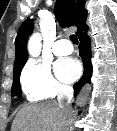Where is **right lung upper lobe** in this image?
I'll return each mask as SVG.
<instances>
[{
  "label": "right lung upper lobe",
  "mask_w": 117,
  "mask_h": 131,
  "mask_svg": "<svg viewBox=\"0 0 117 131\" xmlns=\"http://www.w3.org/2000/svg\"><path fill=\"white\" fill-rule=\"evenodd\" d=\"M85 0H57L55 4V16L62 27L77 26L76 34L87 32V11L84 9ZM33 30V21L27 19L20 26L15 40V63L13 75L17 74L25 65L28 52L27 41Z\"/></svg>",
  "instance_id": "right-lung-upper-lobe-1"
}]
</instances>
